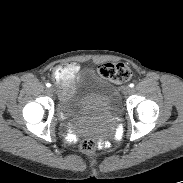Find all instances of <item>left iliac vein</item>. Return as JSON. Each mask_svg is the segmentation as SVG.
<instances>
[{
    "label": "left iliac vein",
    "instance_id": "left-iliac-vein-1",
    "mask_svg": "<svg viewBox=\"0 0 183 183\" xmlns=\"http://www.w3.org/2000/svg\"><path fill=\"white\" fill-rule=\"evenodd\" d=\"M130 92H131V88H130L129 86H124V87H123V93H124V94L127 95V94H129Z\"/></svg>",
    "mask_w": 183,
    "mask_h": 183
}]
</instances>
